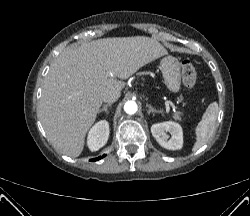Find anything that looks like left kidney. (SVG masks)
Segmentation results:
<instances>
[{"instance_id": "left-kidney-1", "label": "left kidney", "mask_w": 250, "mask_h": 216, "mask_svg": "<svg viewBox=\"0 0 250 216\" xmlns=\"http://www.w3.org/2000/svg\"><path fill=\"white\" fill-rule=\"evenodd\" d=\"M171 138L169 139V135ZM151 133L156 141L168 150H179L183 146V132L181 126L173 121L162 122L152 125Z\"/></svg>"}]
</instances>
